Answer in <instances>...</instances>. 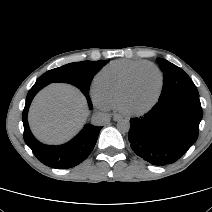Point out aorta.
Masks as SVG:
<instances>
[{
	"mask_svg": "<svg viewBox=\"0 0 212 212\" xmlns=\"http://www.w3.org/2000/svg\"><path fill=\"white\" fill-rule=\"evenodd\" d=\"M117 129L120 131V132H128L129 129H130V122L126 119H123V120H120L117 122Z\"/></svg>",
	"mask_w": 212,
	"mask_h": 212,
	"instance_id": "1",
	"label": "aorta"
}]
</instances>
